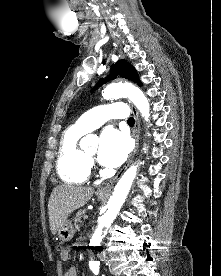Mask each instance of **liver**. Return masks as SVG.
Instances as JSON below:
<instances>
[{
    "label": "liver",
    "instance_id": "liver-1",
    "mask_svg": "<svg viewBox=\"0 0 221 276\" xmlns=\"http://www.w3.org/2000/svg\"><path fill=\"white\" fill-rule=\"evenodd\" d=\"M94 189L75 185L56 186L49 198L48 215L53 235L57 233L68 216L83 207L93 196Z\"/></svg>",
    "mask_w": 221,
    "mask_h": 276
}]
</instances>
